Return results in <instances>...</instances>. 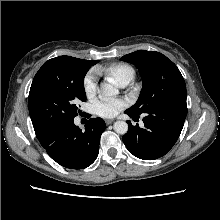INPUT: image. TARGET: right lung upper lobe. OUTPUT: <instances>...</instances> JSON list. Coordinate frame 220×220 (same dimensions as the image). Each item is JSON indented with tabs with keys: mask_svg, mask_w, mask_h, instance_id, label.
Returning <instances> with one entry per match:
<instances>
[{
	"mask_svg": "<svg viewBox=\"0 0 220 220\" xmlns=\"http://www.w3.org/2000/svg\"><path fill=\"white\" fill-rule=\"evenodd\" d=\"M60 58H66V59H70V60L84 61V62H89V61H91V60L78 59V58H74V57H70V56H60Z\"/></svg>",
	"mask_w": 220,
	"mask_h": 220,
	"instance_id": "right-lung-upper-lobe-1",
	"label": "right lung upper lobe"
}]
</instances>
